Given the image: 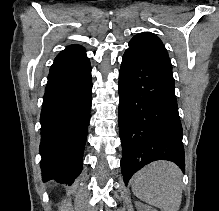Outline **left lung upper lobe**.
<instances>
[{
    "label": "left lung upper lobe",
    "mask_w": 219,
    "mask_h": 211,
    "mask_svg": "<svg viewBox=\"0 0 219 211\" xmlns=\"http://www.w3.org/2000/svg\"><path fill=\"white\" fill-rule=\"evenodd\" d=\"M127 50L172 72L167 50L161 40L153 33L144 32L134 36L129 42Z\"/></svg>",
    "instance_id": "1"
}]
</instances>
